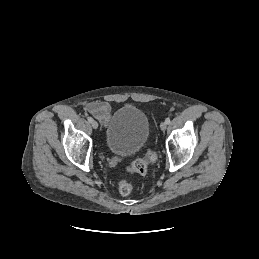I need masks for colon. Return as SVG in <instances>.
I'll use <instances>...</instances> for the list:
<instances>
[{
  "instance_id": "5ec220e1",
  "label": "colon",
  "mask_w": 259,
  "mask_h": 259,
  "mask_svg": "<svg viewBox=\"0 0 259 259\" xmlns=\"http://www.w3.org/2000/svg\"><path fill=\"white\" fill-rule=\"evenodd\" d=\"M156 161L155 153L149 151L144 157L135 159L129 166L131 173L143 175L147 171V167L150 163ZM118 189L121 195L128 196L132 192V185L128 180H121L118 184Z\"/></svg>"
}]
</instances>
